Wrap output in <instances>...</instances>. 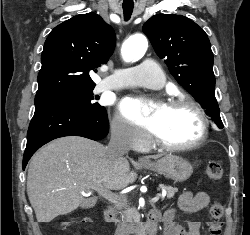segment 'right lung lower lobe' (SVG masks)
<instances>
[{"mask_svg": "<svg viewBox=\"0 0 250 235\" xmlns=\"http://www.w3.org/2000/svg\"><path fill=\"white\" fill-rule=\"evenodd\" d=\"M107 113L66 104L39 103L27 133L23 156L25 169L31 156L44 144L64 136H82L100 140L108 134Z\"/></svg>", "mask_w": 250, "mask_h": 235, "instance_id": "right-lung-lower-lobe-1", "label": "right lung lower lobe"}]
</instances>
